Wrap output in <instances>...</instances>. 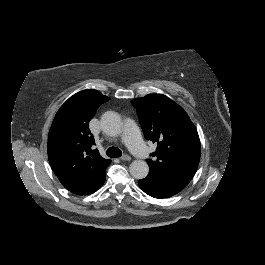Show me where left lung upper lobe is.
Wrapping results in <instances>:
<instances>
[{
  "label": "left lung upper lobe",
  "instance_id": "1",
  "mask_svg": "<svg viewBox=\"0 0 265 265\" xmlns=\"http://www.w3.org/2000/svg\"><path fill=\"white\" fill-rule=\"evenodd\" d=\"M137 109L146 139L157 143L148 159L149 172L165 178L191 180L200 160L197 130L187 113L162 94H149L131 101Z\"/></svg>",
  "mask_w": 265,
  "mask_h": 265
}]
</instances>
